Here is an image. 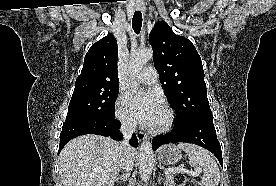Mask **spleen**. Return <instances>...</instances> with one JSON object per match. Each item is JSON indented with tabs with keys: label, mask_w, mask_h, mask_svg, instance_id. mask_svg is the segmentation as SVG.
<instances>
[{
	"label": "spleen",
	"mask_w": 276,
	"mask_h": 186,
	"mask_svg": "<svg viewBox=\"0 0 276 186\" xmlns=\"http://www.w3.org/2000/svg\"><path fill=\"white\" fill-rule=\"evenodd\" d=\"M177 148L187 153L191 166L200 170L203 169L202 183L205 186H218L220 171L209 151L189 143H179Z\"/></svg>",
	"instance_id": "obj_1"
}]
</instances>
